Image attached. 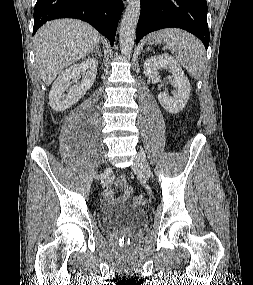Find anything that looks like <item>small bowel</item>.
Instances as JSON below:
<instances>
[{"label":"small bowel","mask_w":253,"mask_h":285,"mask_svg":"<svg viewBox=\"0 0 253 285\" xmlns=\"http://www.w3.org/2000/svg\"><path fill=\"white\" fill-rule=\"evenodd\" d=\"M116 186L120 188L121 194L116 197L111 189L106 190L103 193V202L105 204H117L127 202L132 195V187L127 183L124 176H120L116 179Z\"/></svg>","instance_id":"small-bowel-1"}]
</instances>
